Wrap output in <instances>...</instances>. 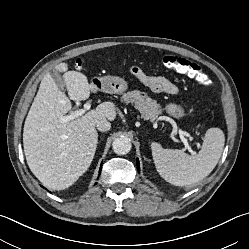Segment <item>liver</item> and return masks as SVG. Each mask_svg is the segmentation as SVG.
Masks as SVG:
<instances>
[{
  "instance_id": "obj_1",
  "label": "liver",
  "mask_w": 249,
  "mask_h": 249,
  "mask_svg": "<svg viewBox=\"0 0 249 249\" xmlns=\"http://www.w3.org/2000/svg\"><path fill=\"white\" fill-rule=\"evenodd\" d=\"M55 69L64 72L69 98L51 73L44 76L25 120L23 146L28 166L38 180L50 189L63 190L90 167L98 143L96 123L101 119L113 121L116 110L114 103L104 102L75 120L61 122L60 118L72 109L70 99L86 100L98 87L89 84L83 73L68 71L66 63Z\"/></svg>"
}]
</instances>
